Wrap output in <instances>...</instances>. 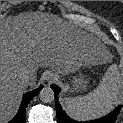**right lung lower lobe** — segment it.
Instances as JSON below:
<instances>
[{
  "label": "right lung lower lobe",
  "mask_w": 123,
  "mask_h": 123,
  "mask_svg": "<svg viewBox=\"0 0 123 123\" xmlns=\"http://www.w3.org/2000/svg\"><path fill=\"white\" fill-rule=\"evenodd\" d=\"M42 88H43V86H40V87L36 88L35 90L26 93L23 96L22 104H21V107H20L17 115L9 123H26V120H25L26 107H27L28 103L33 99V97L36 96L41 91Z\"/></svg>",
  "instance_id": "1"
}]
</instances>
